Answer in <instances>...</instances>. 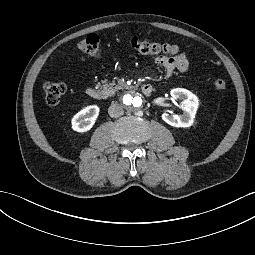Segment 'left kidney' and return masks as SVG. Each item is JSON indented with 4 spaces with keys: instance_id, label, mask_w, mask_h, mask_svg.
Listing matches in <instances>:
<instances>
[{
    "instance_id": "obj_1",
    "label": "left kidney",
    "mask_w": 255,
    "mask_h": 255,
    "mask_svg": "<svg viewBox=\"0 0 255 255\" xmlns=\"http://www.w3.org/2000/svg\"><path fill=\"white\" fill-rule=\"evenodd\" d=\"M170 95L171 100L179 102V105L183 108V113L177 116L164 112L161 116L162 120L175 128L190 127L193 124L197 110V97L188 90L181 88L171 90Z\"/></svg>"
}]
</instances>
